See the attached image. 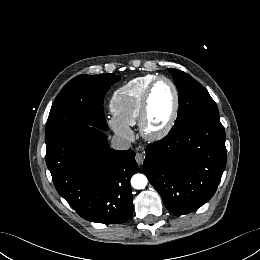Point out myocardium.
Listing matches in <instances>:
<instances>
[{
	"label": "myocardium",
	"instance_id": "1",
	"mask_svg": "<svg viewBox=\"0 0 260 260\" xmlns=\"http://www.w3.org/2000/svg\"><path fill=\"white\" fill-rule=\"evenodd\" d=\"M161 81L167 82L172 87L174 93V107H173L171 117L167 122V124L160 130L151 131L148 128L150 100L155 87ZM179 111H180V93L176 84L168 77L165 76L156 77L147 88L142 99V105H141L140 115L138 119V128L141 136L146 140H150V141H157L165 138L166 136L169 135V133L174 128L179 116Z\"/></svg>",
	"mask_w": 260,
	"mask_h": 260
}]
</instances>
